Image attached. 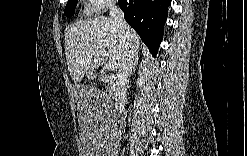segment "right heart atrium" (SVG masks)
Wrapping results in <instances>:
<instances>
[{"mask_svg":"<svg viewBox=\"0 0 247 156\" xmlns=\"http://www.w3.org/2000/svg\"><path fill=\"white\" fill-rule=\"evenodd\" d=\"M91 4L95 7V11L100 13L112 6L113 2L111 0H93Z\"/></svg>","mask_w":247,"mask_h":156,"instance_id":"obj_1","label":"right heart atrium"}]
</instances>
